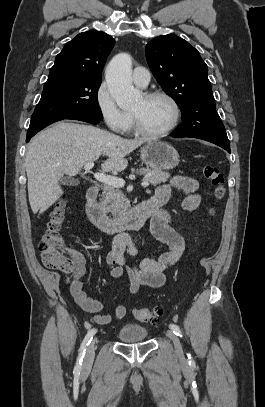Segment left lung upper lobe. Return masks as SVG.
Segmentation results:
<instances>
[{
  "label": "left lung upper lobe",
  "instance_id": "1",
  "mask_svg": "<svg viewBox=\"0 0 265 407\" xmlns=\"http://www.w3.org/2000/svg\"><path fill=\"white\" fill-rule=\"evenodd\" d=\"M145 52L153 75L182 112L183 122L173 134L229 145L216 111L207 65L198 50L168 34L151 40Z\"/></svg>",
  "mask_w": 265,
  "mask_h": 407
}]
</instances>
